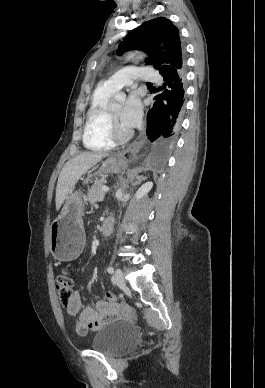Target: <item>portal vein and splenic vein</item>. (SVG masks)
<instances>
[{
    "mask_svg": "<svg viewBox=\"0 0 265 388\" xmlns=\"http://www.w3.org/2000/svg\"><path fill=\"white\" fill-rule=\"evenodd\" d=\"M102 190L103 192H109V188H107V186H102Z\"/></svg>",
    "mask_w": 265,
    "mask_h": 388,
    "instance_id": "1",
    "label": "portal vein and splenic vein"
}]
</instances>
